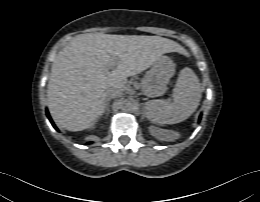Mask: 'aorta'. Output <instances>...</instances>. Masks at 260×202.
I'll use <instances>...</instances> for the list:
<instances>
[{"instance_id": "aorta-1", "label": "aorta", "mask_w": 260, "mask_h": 202, "mask_svg": "<svg viewBox=\"0 0 260 202\" xmlns=\"http://www.w3.org/2000/svg\"><path fill=\"white\" fill-rule=\"evenodd\" d=\"M122 110L125 111V112H130L132 109H133V103L129 100H125L123 103H122V106H121Z\"/></svg>"}]
</instances>
